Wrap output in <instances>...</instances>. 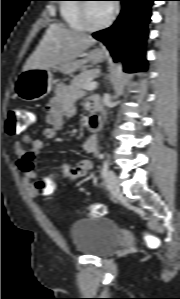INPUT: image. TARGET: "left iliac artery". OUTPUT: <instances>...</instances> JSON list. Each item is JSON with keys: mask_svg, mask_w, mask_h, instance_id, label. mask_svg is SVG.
Segmentation results:
<instances>
[{"mask_svg": "<svg viewBox=\"0 0 180 299\" xmlns=\"http://www.w3.org/2000/svg\"><path fill=\"white\" fill-rule=\"evenodd\" d=\"M108 168H109V163L108 160H105L101 169V175L102 177L106 176L107 172H108Z\"/></svg>", "mask_w": 180, "mask_h": 299, "instance_id": "obj_1", "label": "left iliac artery"}]
</instances>
